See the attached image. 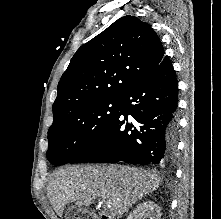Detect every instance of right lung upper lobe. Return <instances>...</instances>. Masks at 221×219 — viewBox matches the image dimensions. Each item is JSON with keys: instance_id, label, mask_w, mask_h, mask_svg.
Wrapping results in <instances>:
<instances>
[{"instance_id": "obj_1", "label": "right lung upper lobe", "mask_w": 221, "mask_h": 219, "mask_svg": "<svg viewBox=\"0 0 221 219\" xmlns=\"http://www.w3.org/2000/svg\"><path fill=\"white\" fill-rule=\"evenodd\" d=\"M164 57L149 24L129 15L118 19L74 54L58 84L54 121L80 105L120 99Z\"/></svg>"}]
</instances>
